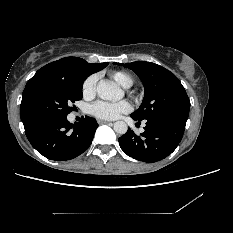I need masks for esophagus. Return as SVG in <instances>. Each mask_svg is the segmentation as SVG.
Wrapping results in <instances>:
<instances>
[{
    "label": "esophagus",
    "mask_w": 233,
    "mask_h": 233,
    "mask_svg": "<svg viewBox=\"0 0 233 233\" xmlns=\"http://www.w3.org/2000/svg\"><path fill=\"white\" fill-rule=\"evenodd\" d=\"M98 124H112V123L106 120H98Z\"/></svg>",
    "instance_id": "obj_1"
}]
</instances>
